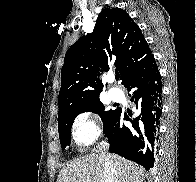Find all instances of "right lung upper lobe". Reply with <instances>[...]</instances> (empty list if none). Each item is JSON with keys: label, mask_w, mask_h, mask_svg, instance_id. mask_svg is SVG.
Returning <instances> with one entry per match:
<instances>
[{"label": "right lung upper lobe", "mask_w": 196, "mask_h": 182, "mask_svg": "<svg viewBox=\"0 0 196 182\" xmlns=\"http://www.w3.org/2000/svg\"><path fill=\"white\" fill-rule=\"evenodd\" d=\"M153 54L138 25L122 9H104L91 34L81 37L66 52L61 70L58 116L84 104L102 91L99 67L109 70L114 63L125 86L143 69Z\"/></svg>", "instance_id": "cb5924a9"}]
</instances>
